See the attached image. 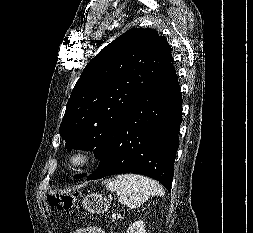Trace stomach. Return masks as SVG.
<instances>
[{
    "mask_svg": "<svg viewBox=\"0 0 253 233\" xmlns=\"http://www.w3.org/2000/svg\"><path fill=\"white\" fill-rule=\"evenodd\" d=\"M82 203L88 212L102 214L108 210L110 201L99 193H91L84 197Z\"/></svg>",
    "mask_w": 253,
    "mask_h": 233,
    "instance_id": "obj_1",
    "label": "stomach"
}]
</instances>
